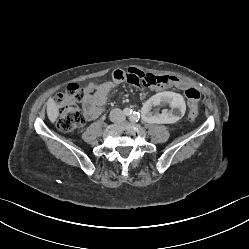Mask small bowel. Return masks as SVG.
I'll list each match as a JSON object with an SVG mask.
<instances>
[{
  "label": "small bowel",
  "instance_id": "1",
  "mask_svg": "<svg viewBox=\"0 0 249 249\" xmlns=\"http://www.w3.org/2000/svg\"><path fill=\"white\" fill-rule=\"evenodd\" d=\"M125 81L135 86L141 97L146 95V90L142 87L144 81L143 71H140L136 67H128L126 71L120 69L114 70L110 81L100 84L88 83L85 86L86 96L82 101L85 118L87 120H94L100 117L103 114V106L107 103L112 89Z\"/></svg>",
  "mask_w": 249,
  "mask_h": 249
}]
</instances>
